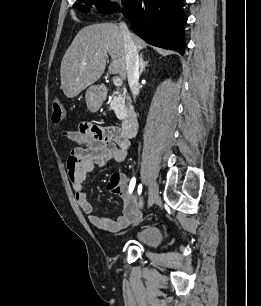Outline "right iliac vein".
I'll return each mask as SVG.
<instances>
[{"mask_svg": "<svg viewBox=\"0 0 261 306\" xmlns=\"http://www.w3.org/2000/svg\"><path fill=\"white\" fill-rule=\"evenodd\" d=\"M158 198V185L155 181H151L149 184V199L148 207H151Z\"/></svg>", "mask_w": 261, "mask_h": 306, "instance_id": "63e3f726", "label": "right iliac vein"}]
</instances>
